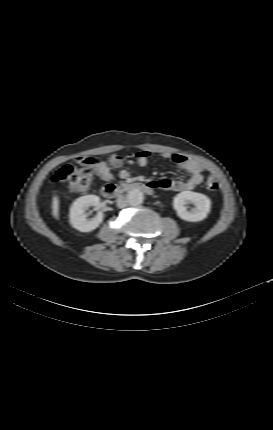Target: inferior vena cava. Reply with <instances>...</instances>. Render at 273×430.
Returning a JSON list of instances; mask_svg holds the SVG:
<instances>
[{
    "label": "inferior vena cava",
    "mask_w": 273,
    "mask_h": 430,
    "mask_svg": "<svg viewBox=\"0 0 273 430\" xmlns=\"http://www.w3.org/2000/svg\"><path fill=\"white\" fill-rule=\"evenodd\" d=\"M117 206L119 208H124L127 206V200L125 197L121 196L117 199Z\"/></svg>",
    "instance_id": "obj_1"
}]
</instances>
